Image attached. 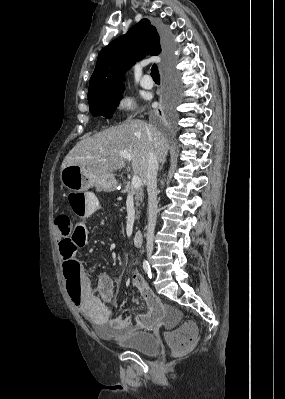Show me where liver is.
<instances>
[{
	"label": "liver",
	"instance_id": "liver-1",
	"mask_svg": "<svg viewBox=\"0 0 285 399\" xmlns=\"http://www.w3.org/2000/svg\"><path fill=\"white\" fill-rule=\"evenodd\" d=\"M169 144L166 137L152 125L133 120L110 127L78 142L66 155L61 168L76 165L91 177L113 175L125 167L126 161L119 152L132 157V169L146 181L148 155L152 150L158 162L164 163Z\"/></svg>",
	"mask_w": 285,
	"mask_h": 399
}]
</instances>
